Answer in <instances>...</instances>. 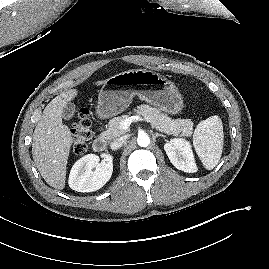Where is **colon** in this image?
I'll list each match as a JSON object with an SVG mask.
<instances>
[{"label":"colon","instance_id":"1","mask_svg":"<svg viewBox=\"0 0 269 269\" xmlns=\"http://www.w3.org/2000/svg\"><path fill=\"white\" fill-rule=\"evenodd\" d=\"M72 151L81 154L86 151L91 139V122L86 109H80L72 122Z\"/></svg>","mask_w":269,"mask_h":269}]
</instances>
